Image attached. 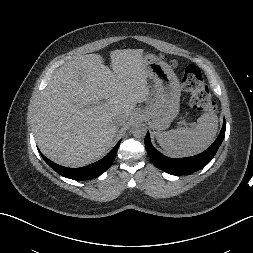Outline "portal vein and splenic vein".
Instances as JSON below:
<instances>
[{"label": "portal vein and splenic vein", "instance_id": "obj_1", "mask_svg": "<svg viewBox=\"0 0 253 253\" xmlns=\"http://www.w3.org/2000/svg\"><path fill=\"white\" fill-rule=\"evenodd\" d=\"M181 123L184 124V125L186 124L185 121H182Z\"/></svg>", "mask_w": 253, "mask_h": 253}]
</instances>
